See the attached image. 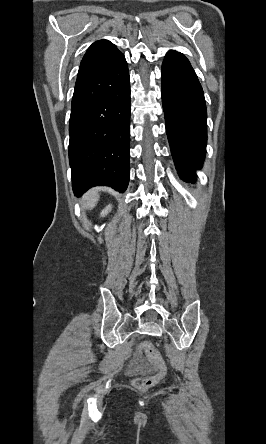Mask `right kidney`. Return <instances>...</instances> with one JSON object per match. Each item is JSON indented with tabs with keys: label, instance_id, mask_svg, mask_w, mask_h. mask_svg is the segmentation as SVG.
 Instances as JSON below:
<instances>
[{
	"label": "right kidney",
	"instance_id": "right-kidney-1",
	"mask_svg": "<svg viewBox=\"0 0 266 444\" xmlns=\"http://www.w3.org/2000/svg\"><path fill=\"white\" fill-rule=\"evenodd\" d=\"M112 206L108 205L102 212H101V216L104 217L105 215L108 214V212L111 210Z\"/></svg>",
	"mask_w": 266,
	"mask_h": 444
}]
</instances>
